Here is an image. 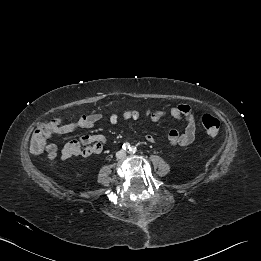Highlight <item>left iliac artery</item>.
Returning <instances> with one entry per match:
<instances>
[{"label":"left iliac artery","instance_id":"left-iliac-artery-1","mask_svg":"<svg viewBox=\"0 0 261 261\" xmlns=\"http://www.w3.org/2000/svg\"><path fill=\"white\" fill-rule=\"evenodd\" d=\"M130 151H131L132 153H135V152L137 151V148H136V147H131V148H130Z\"/></svg>","mask_w":261,"mask_h":261}]
</instances>
